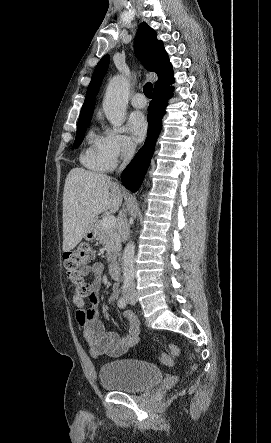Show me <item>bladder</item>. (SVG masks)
<instances>
[{
    "label": "bladder",
    "mask_w": 271,
    "mask_h": 443,
    "mask_svg": "<svg viewBox=\"0 0 271 443\" xmlns=\"http://www.w3.org/2000/svg\"><path fill=\"white\" fill-rule=\"evenodd\" d=\"M163 374L156 365L138 359L124 358L103 364L99 380L106 389L137 392L159 384Z\"/></svg>",
    "instance_id": "31cf9c89"
}]
</instances>
